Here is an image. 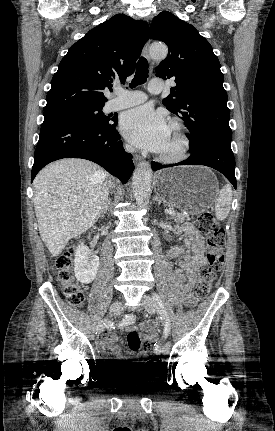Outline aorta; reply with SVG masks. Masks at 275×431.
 <instances>
[{"label":"aorta","instance_id":"1","mask_svg":"<svg viewBox=\"0 0 275 431\" xmlns=\"http://www.w3.org/2000/svg\"><path fill=\"white\" fill-rule=\"evenodd\" d=\"M168 49L165 45L153 44L150 47V55L153 59L162 60L167 56ZM152 168L148 162L140 163L133 173L132 188L134 199L142 203L149 195L151 188Z\"/></svg>","mask_w":275,"mask_h":431}]
</instances>
